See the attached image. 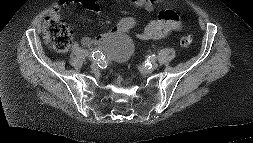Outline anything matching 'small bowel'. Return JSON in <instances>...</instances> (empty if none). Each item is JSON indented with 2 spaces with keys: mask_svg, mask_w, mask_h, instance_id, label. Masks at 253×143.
<instances>
[{
  "mask_svg": "<svg viewBox=\"0 0 253 143\" xmlns=\"http://www.w3.org/2000/svg\"><path fill=\"white\" fill-rule=\"evenodd\" d=\"M99 0H62L59 6L53 8L50 12V17L59 18V12L62 5L67 3L80 2L91 11L97 7ZM160 0H130L136 7L142 8L148 12L153 10V4ZM136 25V20L133 17H123L118 21L116 26L108 32L100 33L94 37H83L81 44L84 47H91L94 45H101L108 41L111 37L129 32ZM181 29V21L176 12L171 9H165L159 13L157 18L151 20L147 25L137 34L140 40H156L160 39L171 32L179 31ZM129 56L128 51H121L119 59L124 60Z\"/></svg>",
  "mask_w": 253,
  "mask_h": 143,
  "instance_id": "c3829d8e",
  "label": "small bowel"
}]
</instances>
